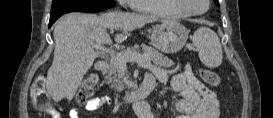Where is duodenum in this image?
<instances>
[{
	"instance_id": "1",
	"label": "duodenum",
	"mask_w": 273,
	"mask_h": 118,
	"mask_svg": "<svg viewBox=\"0 0 273 118\" xmlns=\"http://www.w3.org/2000/svg\"><path fill=\"white\" fill-rule=\"evenodd\" d=\"M96 68L100 72H104L107 68L105 61L96 63ZM155 82L144 78L143 82L135 89L124 95V100L127 102L136 101L147 96V94L154 88Z\"/></svg>"
}]
</instances>
